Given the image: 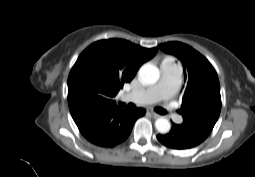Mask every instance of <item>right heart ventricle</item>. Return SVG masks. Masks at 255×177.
I'll list each match as a JSON object with an SVG mask.
<instances>
[{"instance_id":"right-heart-ventricle-1","label":"right heart ventricle","mask_w":255,"mask_h":177,"mask_svg":"<svg viewBox=\"0 0 255 177\" xmlns=\"http://www.w3.org/2000/svg\"><path fill=\"white\" fill-rule=\"evenodd\" d=\"M161 67H173V68H178L179 65L178 63L175 61V59L173 57H166L163 59L162 63H161Z\"/></svg>"}]
</instances>
